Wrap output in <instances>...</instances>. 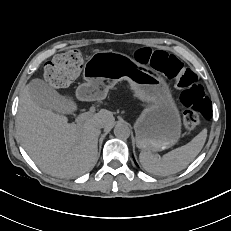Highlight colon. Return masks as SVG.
<instances>
[{
    "label": "colon",
    "mask_w": 231,
    "mask_h": 231,
    "mask_svg": "<svg viewBox=\"0 0 231 231\" xmlns=\"http://www.w3.org/2000/svg\"><path fill=\"white\" fill-rule=\"evenodd\" d=\"M136 59L149 64L158 72L174 80L181 89L180 100L185 111L182 115V127L191 131L203 120L211 116V102L196 74L185 67L176 56L161 50L142 48L136 52ZM83 67V56L77 50L60 54L47 62L44 67L46 80L57 87L65 86L74 80Z\"/></svg>",
    "instance_id": "5ec220e1"
}]
</instances>
